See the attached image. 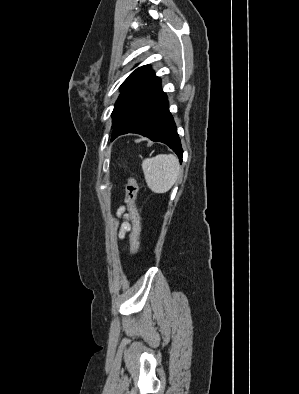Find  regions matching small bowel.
Segmentation results:
<instances>
[{
    "instance_id": "small-bowel-1",
    "label": "small bowel",
    "mask_w": 299,
    "mask_h": 394,
    "mask_svg": "<svg viewBox=\"0 0 299 394\" xmlns=\"http://www.w3.org/2000/svg\"><path fill=\"white\" fill-rule=\"evenodd\" d=\"M117 214L119 217L123 218V222L121 223L119 232V239H123L126 233H128L132 229V226L130 224L131 216L126 211V208L124 206H120L118 208Z\"/></svg>"
}]
</instances>
